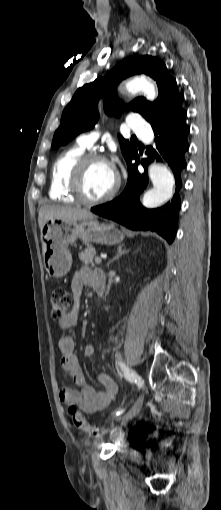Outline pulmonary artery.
<instances>
[{"label":"pulmonary artery","instance_id":"e3ab8cb5","mask_svg":"<svg viewBox=\"0 0 221 510\" xmlns=\"http://www.w3.org/2000/svg\"><path fill=\"white\" fill-rule=\"evenodd\" d=\"M128 126L134 131L140 138L148 143L152 139V131L149 123L143 120L138 115H131L128 119ZM98 138V133L95 131L83 133L78 136L77 142L85 148H90Z\"/></svg>","mask_w":221,"mask_h":510}]
</instances>
